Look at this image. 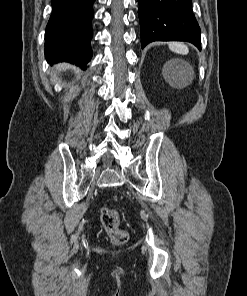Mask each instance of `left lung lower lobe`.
<instances>
[{
  "mask_svg": "<svg viewBox=\"0 0 247 296\" xmlns=\"http://www.w3.org/2000/svg\"><path fill=\"white\" fill-rule=\"evenodd\" d=\"M192 0H138L141 46L152 41H188L201 50Z\"/></svg>",
  "mask_w": 247,
  "mask_h": 296,
  "instance_id": "obj_1",
  "label": "left lung lower lobe"
}]
</instances>
